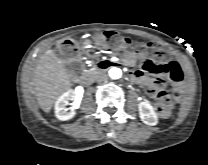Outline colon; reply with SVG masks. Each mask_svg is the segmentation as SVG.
<instances>
[{"mask_svg":"<svg viewBox=\"0 0 208 165\" xmlns=\"http://www.w3.org/2000/svg\"><path fill=\"white\" fill-rule=\"evenodd\" d=\"M100 41L112 49H127L134 46L128 37L113 31L106 32ZM74 50L75 46L71 41H62L58 46L59 54L65 57L71 56ZM145 53L146 59H153L154 61H163L168 58L167 50L156 43L148 44ZM172 104L171 96L166 91H161L158 94L156 106L161 116L169 114Z\"/></svg>","mask_w":208,"mask_h":165,"instance_id":"obj_1","label":"colon"}]
</instances>
